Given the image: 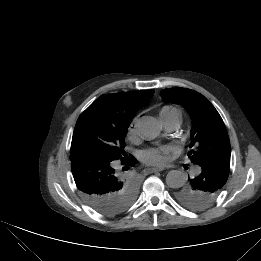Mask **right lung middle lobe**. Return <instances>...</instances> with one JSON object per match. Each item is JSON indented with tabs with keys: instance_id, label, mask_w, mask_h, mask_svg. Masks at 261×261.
Wrapping results in <instances>:
<instances>
[{
	"instance_id": "dd1d6c3e",
	"label": "right lung middle lobe",
	"mask_w": 261,
	"mask_h": 261,
	"mask_svg": "<svg viewBox=\"0 0 261 261\" xmlns=\"http://www.w3.org/2000/svg\"><path fill=\"white\" fill-rule=\"evenodd\" d=\"M129 124L110 117L102 110L88 107L78 118L71 143V153L84 152L110 161L128 158L124 138ZM138 183L127 178L118 197L128 208L134 201Z\"/></svg>"
}]
</instances>
